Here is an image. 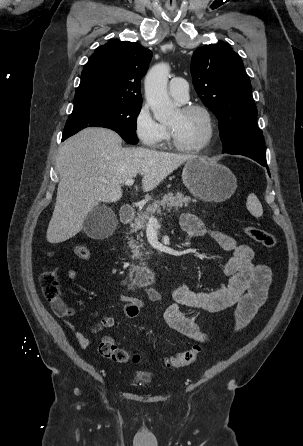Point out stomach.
Wrapping results in <instances>:
<instances>
[{
	"mask_svg": "<svg viewBox=\"0 0 303 446\" xmlns=\"http://www.w3.org/2000/svg\"><path fill=\"white\" fill-rule=\"evenodd\" d=\"M182 180L194 197L207 202L225 201L237 188V179L230 169L202 157L186 162Z\"/></svg>",
	"mask_w": 303,
	"mask_h": 446,
	"instance_id": "stomach-1",
	"label": "stomach"
}]
</instances>
